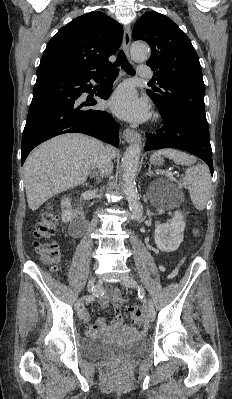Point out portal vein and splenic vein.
<instances>
[{
  "mask_svg": "<svg viewBox=\"0 0 232 399\" xmlns=\"http://www.w3.org/2000/svg\"><path fill=\"white\" fill-rule=\"evenodd\" d=\"M167 176H169V178H171V172H167Z\"/></svg>",
  "mask_w": 232,
  "mask_h": 399,
  "instance_id": "portal-vein-and-splenic-vein-1",
  "label": "portal vein and splenic vein"
}]
</instances>
